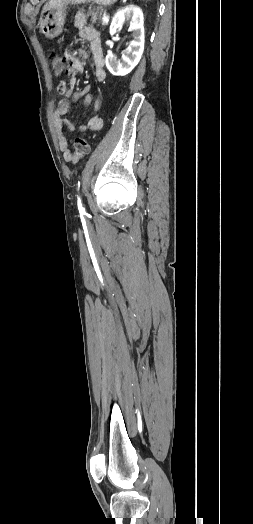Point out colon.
<instances>
[{"instance_id": "1", "label": "colon", "mask_w": 253, "mask_h": 524, "mask_svg": "<svg viewBox=\"0 0 253 524\" xmlns=\"http://www.w3.org/2000/svg\"><path fill=\"white\" fill-rule=\"evenodd\" d=\"M65 54L60 52L53 51L49 55V60L52 66V69L56 75H60L65 66ZM89 152V144L86 139L77 137L73 141L71 150H69L67 155V160L71 162H79L82 160Z\"/></svg>"}]
</instances>
